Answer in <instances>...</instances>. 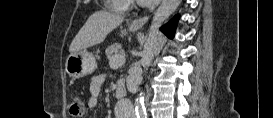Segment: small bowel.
<instances>
[{"label":"small bowel","instance_id":"obj_1","mask_svg":"<svg viewBox=\"0 0 273 118\" xmlns=\"http://www.w3.org/2000/svg\"><path fill=\"white\" fill-rule=\"evenodd\" d=\"M104 84L103 77H95L93 78L90 85V97L88 99V106L91 109H95L98 106L99 96L101 94L102 88ZM131 109L126 104H117L115 107V116L116 118H124L129 115Z\"/></svg>","mask_w":273,"mask_h":118}]
</instances>
